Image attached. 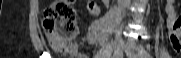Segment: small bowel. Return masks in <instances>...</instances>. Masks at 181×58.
<instances>
[{"label":"small bowel","mask_w":181,"mask_h":58,"mask_svg":"<svg viewBox=\"0 0 181 58\" xmlns=\"http://www.w3.org/2000/svg\"><path fill=\"white\" fill-rule=\"evenodd\" d=\"M86 7L91 14H98L100 12L99 6L94 1H86ZM166 14L170 44L175 51L181 52V16H179L176 11L174 0L168 1L166 5ZM88 40L90 43H95V35L91 34Z\"/></svg>","instance_id":"obj_1"}]
</instances>
